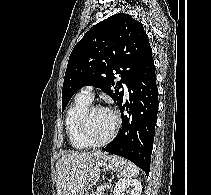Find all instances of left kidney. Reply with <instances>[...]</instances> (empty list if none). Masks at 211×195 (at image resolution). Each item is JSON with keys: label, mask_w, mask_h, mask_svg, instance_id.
<instances>
[{"label": "left kidney", "mask_w": 211, "mask_h": 195, "mask_svg": "<svg viewBox=\"0 0 211 195\" xmlns=\"http://www.w3.org/2000/svg\"><path fill=\"white\" fill-rule=\"evenodd\" d=\"M141 195V182L132 178H121L114 187L113 195Z\"/></svg>", "instance_id": "1"}]
</instances>
